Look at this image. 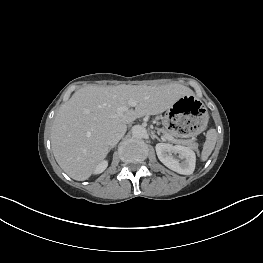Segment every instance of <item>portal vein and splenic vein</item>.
<instances>
[{"label": "portal vein and splenic vein", "instance_id": "portal-vein-and-splenic-vein-1", "mask_svg": "<svg viewBox=\"0 0 263 263\" xmlns=\"http://www.w3.org/2000/svg\"><path fill=\"white\" fill-rule=\"evenodd\" d=\"M135 106H136V102H134V101H129L128 106H126V105L120 106V107L117 109V112H118V114H121V113L127 111V110L129 109V107H135ZM166 138L169 139V140L172 139V137L167 136V135H166Z\"/></svg>", "mask_w": 263, "mask_h": 263}]
</instances>
